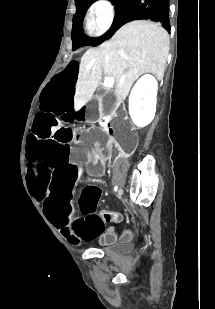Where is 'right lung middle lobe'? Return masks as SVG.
<instances>
[{
  "mask_svg": "<svg viewBox=\"0 0 215 309\" xmlns=\"http://www.w3.org/2000/svg\"><path fill=\"white\" fill-rule=\"evenodd\" d=\"M96 0H77L76 1V15L74 17V25L72 29V49L76 50L81 46L91 45L96 46L111 37L115 30H117V22L123 11L130 5L133 0H110L115 4V18L112 27L101 37L89 38L83 35L82 22L88 7Z\"/></svg>",
  "mask_w": 215,
  "mask_h": 309,
  "instance_id": "obj_1",
  "label": "right lung middle lobe"
}]
</instances>
